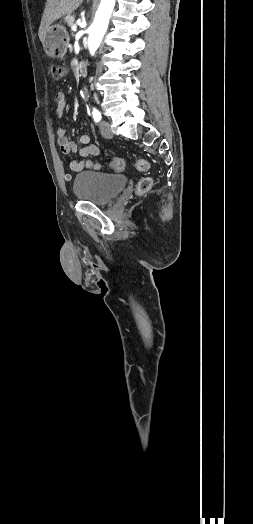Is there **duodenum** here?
<instances>
[{"label": "duodenum", "mask_w": 253, "mask_h": 524, "mask_svg": "<svg viewBox=\"0 0 253 524\" xmlns=\"http://www.w3.org/2000/svg\"><path fill=\"white\" fill-rule=\"evenodd\" d=\"M77 70L79 74H85L87 71V65L84 62H80L77 65Z\"/></svg>", "instance_id": "duodenum-1"}]
</instances>
